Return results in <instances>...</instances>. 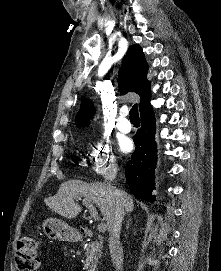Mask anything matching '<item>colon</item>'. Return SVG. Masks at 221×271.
<instances>
[{
	"label": "colon",
	"mask_w": 221,
	"mask_h": 271,
	"mask_svg": "<svg viewBox=\"0 0 221 271\" xmlns=\"http://www.w3.org/2000/svg\"><path fill=\"white\" fill-rule=\"evenodd\" d=\"M40 243L30 235L20 237L16 245L15 263L19 271H35L41 266Z\"/></svg>",
	"instance_id": "colon-1"
}]
</instances>
